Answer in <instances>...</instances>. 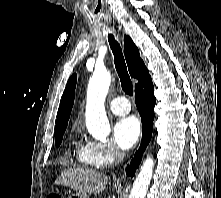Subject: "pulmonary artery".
<instances>
[{"instance_id": "e3ab8cb5", "label": "pulmonary artery", "mask_w": 221, "mask_h": 198, "mask_svg": "<svg viewBox=\"0 0 221 198\" xmlns=\"http://www.w3.org/2000/svg\"><path fill=\"white\" fill-rule=\"evenodd\" d=\"M111 111L119 116H124L130 112L131 106L123 96H118L110 102Z\"/></svg>"}]
</instances>
